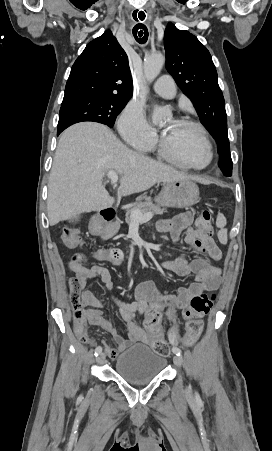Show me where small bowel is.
<instances>
[{
    "label": "small bowel",
    "mask_w": 272,
    "mask_h": 451,
    "mask_svg": "<svg viewBox=\"0 0 272 451\" xmlns=\"http://www.w3.org/2000/svg\"><path fill=\"white\" fill-rule=\"evenodd\" d=\"M198 229H200L198 226H193V218L189 212L157 223V230L160 233L168 234L172 243H176L183 236L184 242L192 250L204 253L206 256H198L191 260L178 256L162 262L165 269L177 276L194 275V282L189 286L179 288L176 294H162L153 282L145 281L136 288L135 302L127 303L114 296L111 297L118 308L121 319L126 323L128 330L126 337L120 335L116 327L103 316L104 303L87 289V281L98 278L108 291H112L114 284L109 270L100 265H93L86 270L85 274H74V277L69 280V293L73 313L78 311L81 314L79 320L74 323V328L79 326L82 332H86V326L89 323L107 331L116 344V347H111L106 342L104 343L105 352L111 359H116L131 344H148L150 337L163 339L160 325L155 332H147L138 323V318L143 315L147 317L159 314L161 316V312L165 310L167 319L174 323L177 320V311L186 309L194 295L216 290L220 285L221 270L211 260H220L222 253L215 241L209 243V238H198ZM96 258L106 259L101 252L96 254ZM175 330H177L176 327ZM185 339L186 335L182 338L184 343Z\"/></svg>",
    "instance_id": "obj_1"
}]
</instances>
